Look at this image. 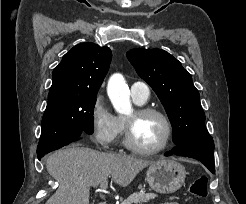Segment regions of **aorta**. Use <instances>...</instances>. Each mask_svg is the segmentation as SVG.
I'll use <instances>...</instances> for the list:
<instances>
[{
	"label": "aorta",
	"instance_id": "aorta-1",
	"mask_svg": "<svg viewBox=\"0 0 246 204\" xmlns=\"http://www.w3.org/2000/svg\"><path fill=\"white\" fill-rule=\"evenodd\" d=\"M109 98L114 109L122 115H131L133 108L130 103V91L122 75H113L107 87Z\"/></svg>",
	"mask_w": 246,
	"mask_h": 204
}]
</instances>
